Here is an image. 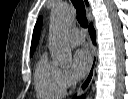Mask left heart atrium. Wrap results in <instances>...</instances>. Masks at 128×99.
<instances>
[{
  "label": "left heart atrium",
  "mask_w": 128,
  "mask_h": 99,
  "mask_svg": "<svg viewBox=\"0 0 128 99\" xmlns=\"http://www.w3.org/2000/svg\"><path fill=\"white\" fill-rule=\"evenodd\" d=\"M91 57L86 49H81L75 52L73 56L72 68L73 73L77 78H82L89 70Z\"/></svg>",
  "instance_id": "left-heart-atrium-1"
}]
</instances>
